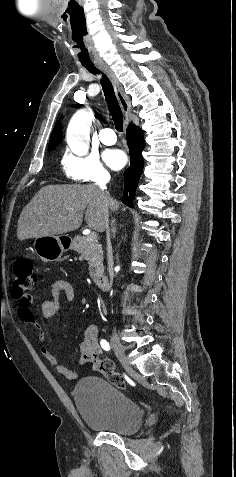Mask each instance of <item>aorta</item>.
I'll return each mask as SVG.
<instances>
[{
	"label": "aorta",
	"instance_id": "762f6f07",
	"mask_svg": "<svg viewBox=\"0 0 236 477\" xmlns=\"http://www.w3.org/2000/svg\"><path fill=\"white\" fill-rule=\"evenodd\" d=\"M92 113L87 110L78 111L70 120L66 139L69 147L78 154H84L89 148V132Z\"/></svg>",
	"mask_w": 236,
	"mask_h": 477
}]
</instances>
